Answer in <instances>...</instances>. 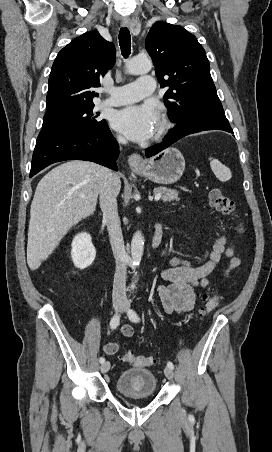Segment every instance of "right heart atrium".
<instances>
[{
    "label": "right heart atrium",
    "mask_w": 272,
    "mask_h": 452,
    "mask_svg": "<svg viewBox=\"0 0 272 452\" xmlns=\"http://www.w3.org/2000/svg\"><path fill=\"white\" fill-rule=\"evenodd\" d=\"M118 139L121 141L122 140V138L121 137H118Z\"/></svg>",
    "instance_id": "right-heart-atrium-1"
}]
</instances>
